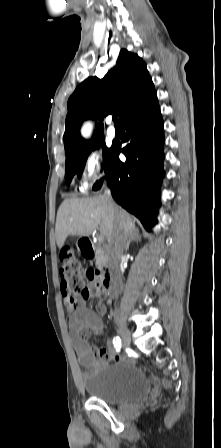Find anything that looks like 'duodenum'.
I'll return each mask as SVG.
<instances>
[{"instance_id": "1", "label": "duodenum", "mask_w": 221, "mask_h": 448, "mask_svg": "<svg viewBox=\"0 0 221 448\" xmlns=\"http://www.w3.org/2000/svg\"><path fill=\"white\" fill-rule=\"evenodd\" d=\"M79 249L83 257L87 259H95L101 268L102 278L101 288L105 295H115L118 291L119 280L115 272L111 270V266L106 259L102 249L95 246L91 239L83 237L79 243Z\"/></svg>"}]
</instances>
